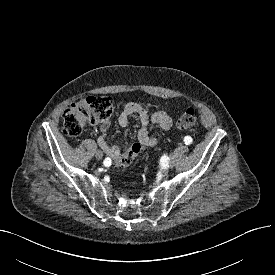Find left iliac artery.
<instances>
[{"label": "left iliac artery", "instance_id": "1", "mask_svg": "<svg viewBox=\"0 0 275 275\" xmlns=\"http://www.w3.org/2000/svg\"><path fill=\"white\" fill-rule=\"evenodd\" d=\"M192 138L190 137V136H186L185 138H184V143L186 144V145H190L191 143H192Z\"/></svg>", "mask_w": 275, "mask_h": 275}]
</instances>
